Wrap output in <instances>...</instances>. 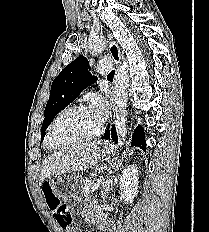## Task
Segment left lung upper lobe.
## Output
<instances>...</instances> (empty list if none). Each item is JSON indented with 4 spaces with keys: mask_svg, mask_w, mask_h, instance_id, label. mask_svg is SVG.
Wrapping results in <instances>:
<instances>
[{
    "mask_svg": "<svg viewBox=\"0 0 209 232\" xmlns=\"http://www.w3.org/2000/svg\"><path fill=\"white\" fill-rule=\"evenodd\" d=\"M88 68L89 61L81 55L68 64L54 79L44 112L41 140L55 116L72 103L86 87L96 82L97 77L92 76Z\"/></svg>",
    "mask_w": 209,
    "mask_h": 232,
    "instance_id": "left-lung-upper-lobe-1",
    "label": "left lung upper lobe"
}]
</instances>
